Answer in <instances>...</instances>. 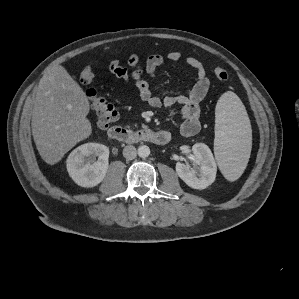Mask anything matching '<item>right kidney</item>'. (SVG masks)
Instances as JSON below:
<instances>
[{
  "label": "right kidney",
  "instance_id": "ca27d5eb",
  "mask_svg": "<svg viewBox=\"0 0 299 299\" xmlns=\"http://www.w3.org/2000/svg\"><path fill=\"white\" fill-rule=\"evenodd\" d=\"M108 157L107 146L99 143L83 144L74 149L67 158L69 176L81 187L97 186L106 176Z\"/></svg>",
  "mask_w": 299,
  "mask_h": 299
}]
</instances>
